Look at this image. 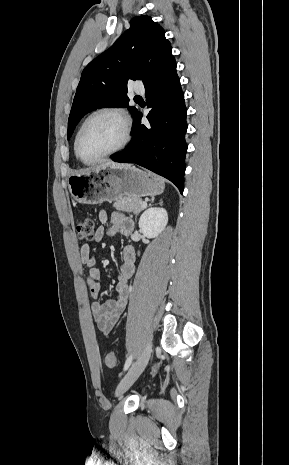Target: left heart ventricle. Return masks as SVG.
Masks as SVG:
<instances>
[{"label": "left heart ventricle", "instance_id": "b2bd125f", "mask_svg": "<svg viewBox=\"0 0 289 465\" xmlns=\"http://www.w3.org/2000/svg\"><path fill=\"white\" fill-rule=\"evenodd\" d=\"M122 123L115 117L99 115L84 127L80 141V155L91 160L117 147L123 139Z\"/></svg>", "mask_w": 289, "mask_h": 465}]
</instances>
